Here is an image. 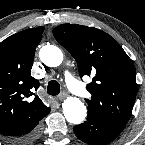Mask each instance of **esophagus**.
<instances>
[{"label": "esophagus", "instance_id": "34e87169", "mask_svg": "<svg viewBox=\"0 0 145 145\" xmlns=\"http://www.w3.org/2000/svg\"><path fill=\"white\" fill-rule=\"evenodd\" d=\"M66 96L67 94L65 92H62L60 95L57 96V100L62 101Z\"/></svg>", "mask_w": 145, "mask_h": 145}]
</instances>
